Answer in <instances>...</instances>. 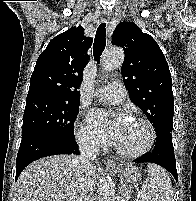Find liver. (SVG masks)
Returning <instances> with one entry per match:
<instances>
[{"mask_svg": "<svg viewBox=\"0 0 196 201\" xmlns=\"http://www.w3.org/2000/svg\"><path fill=\"white\" fill-rule=\"evenodd\" d=\"M75 156L53 155L28 165L17 180L18 201H78L80 190L93 194L97 168L91 163L76 176Z\"/></svg>", "mask_w": 196, "mask_h": 201, "instance_id": "liver-1", "label": "liver"}]
</instances>
